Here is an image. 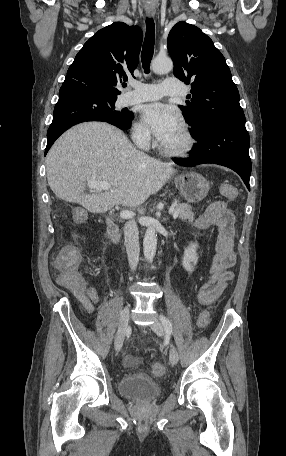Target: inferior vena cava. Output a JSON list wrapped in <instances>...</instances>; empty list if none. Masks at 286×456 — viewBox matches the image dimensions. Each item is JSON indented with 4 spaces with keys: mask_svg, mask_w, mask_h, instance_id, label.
<instances>
[{
    "mask_svg": "<svg viewBox=\"0 0 286 456\" xmlns=\"http://www.w3.org/2000/svg\"><path fill=\"white\" fill-rule=\"evenodd\" d=\"M124 239L129 265L135 270L139 261V232L135 220H129L124 225Z\"/></svg>",
    "mask_w": 286,
    "mask_h": 456,
    "instance_id": "inferior-vena-cava-1",
    "label": "inferior vena cava"
}]
</instances>
